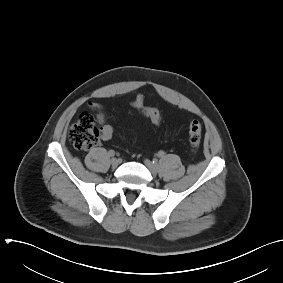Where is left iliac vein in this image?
Returning <instances> with one entry per match:
<instances>
[{"instance_id":"left-iliac-vein-1","label":"left iliac vein","mask_w":283,"mask_h":283,"mask_svg":"<svg viewBox=\"0 0 283 283\" xmlns=\"http://www.w3.org/2000/svg\"><path fill=\"white\" fill-rule=\"evenodd\" d=\"M144 164L150 170V172L152 174H154V175L157 174L159 168H158V165L156 163H154V162H152L148 159H145Z\"/></svg>"}]
</instances>
